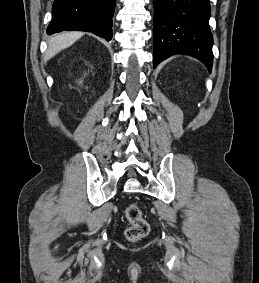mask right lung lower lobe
<instances>
[{"label": "right lung lower lobe", "mask_w": 259, "mask_h": 283, "mask_svg": "<svg viewBox=\"0 0 259 283\" xmlns=\"http://www.w3.org/2000/svg\"><path fill=\"white\" fill-rule=\"evenodd\" d=\"M115 3L116 0H55L47 34L87 31L110 41Z\"/></svg>", "instance_id": "98d812e1"}]
</instances>
